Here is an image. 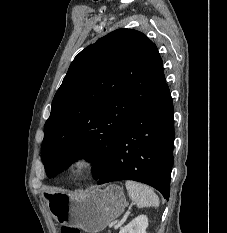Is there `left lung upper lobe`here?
Listing matches in <instances>:
<instances>
[{"label": "left lung upper lobe", "mask_w": 227, "mask_h": 233, "mask_svg": "<svg viewBox=\"0 0 227 233\" xmlns=\"http://www.w3.org/2000/svg\"><path fill=\"white\" fill-rule=\"evenodd\" d=\"M165 84L157 47L141 32L118 29L86 47L71 63L44 126L47 176L86 158L100 179L122 131Z\"/></svg>", "instance_id": "obj_1"}]
</instances>
